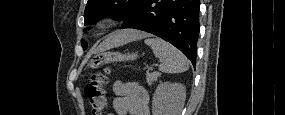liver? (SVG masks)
<instances>
[{
    "mask_svg": "<svg viewBox=\"0 0 285 115\" xmlns=\"http://www.w3.org/2000/svg\"><path fill=\"white\" fill-rule=\"evenodd\" d=\"M148 34L137 30H121L109 35L95 50L96 53L104 52L114 47L125 45L129 42L143 39Z\"/></svg>",
    "mask_w": 285,
    "mask_h": 115,
    "instance_id": "6515ba94",
    "label": "liver"
}]
</instances>
